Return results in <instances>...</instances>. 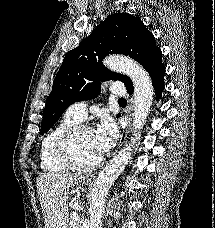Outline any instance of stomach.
Here are the masks:
<instances>
[{
  "label": "stomach",
  "instance_id": "1",
  "mask_svg": "<svg viewBox=\"0 0 215 228\" xmlns=\"http://www.w3.org/2000/svg\"><path fill=\"white\" fill-rule=\"evenodd\" d=\"M82 182H83V184H85V186H90V184H92V182L90 180V174H89V176H85V178H83Z\"/></svg>",
  "mask_w": 215,
  "mask_h": 228
}]
</instances>
